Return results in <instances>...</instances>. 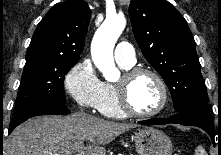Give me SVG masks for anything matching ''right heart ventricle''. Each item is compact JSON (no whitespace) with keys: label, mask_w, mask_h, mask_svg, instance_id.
Wrapping results in <instances>:
<instances>
[{"label":"right heart ventricle","mask_w":221,"mask_h":155,"mask_svg":"<svg viewBox=\"0 0 221 155\" xmlns=\"http://www.w3.org/2000/svg\"><path fill=\"white\" fill-rule=\"evenodd\" d=\"M120 67L124 70H129L132 66L120 64ZM116 84L105 81L102 84V96L98 104L97 110L104 116L110 118H124L126 114L121 110L117 93Z\"/></svg>","instance_id":"obj_1"}]
</instances>
